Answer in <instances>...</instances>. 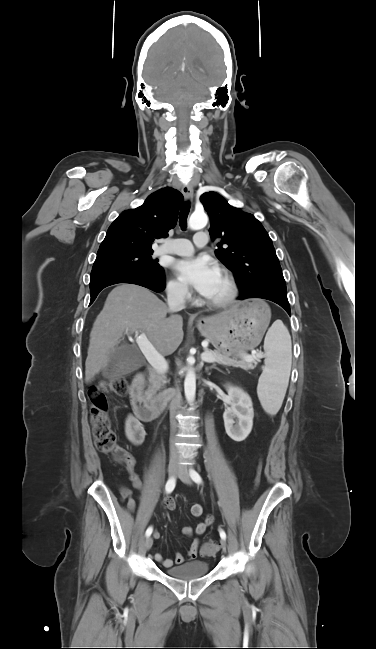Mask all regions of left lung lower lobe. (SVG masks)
<instances>
[{
  "mask_svg": "<svg viewBox=\"0 0 376 649\" xmlns=\"http://www.w3.org/2000/svg\"><path fill=\"white\" fill-rule=\"evenodd\" d=\"M247 298H262V299L273 301L278 305H280L282 308H284L287 311V313L290 315V305L287 299V295L280 294L267 287L260 286L256 291L238 297V299L240 300H244Z\"/></svg>",
  "mask_w": 376,
  "mask_h": 649,
  "instance_id": "1",
  "label": "left lung lower lobe"
}]
</instances>
